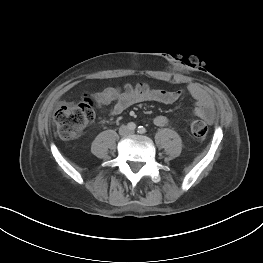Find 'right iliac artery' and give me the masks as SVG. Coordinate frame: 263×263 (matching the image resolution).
<instances>
[{
	"instance_id": "82829eb1",
	"label": "right iliac artery",
	"mask_w": 263,
	"mask_h": 263,
	"mask_svg": "<svg viewBox=\"0 0 263 263\" xmlns=\"http://www.w3.org/2000/svg\"><path fill=\"white\" fill-rule=\"evenodd\" d=\"M127 127H128L129 130H132V131H133V130H135L136 125H135V123L130 122V123H128Z\"/></svg>"
}]
</instances>
